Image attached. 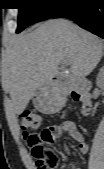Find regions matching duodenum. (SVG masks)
<instances>
[{"label": "duodenum", "instance_id": "410a0bca", "mask_svg": "<svg viewBox=\"0 0 104 169\" xmlns=\"http://www.w3.org/2000/svg\"><path fill=\"white\" fill-rule=\"evenodd\" d=\"M54 79H60V76H56L54 77ZM90 89H91V84L86 79L78 80L77 82H75L74 90L76 93L79 94L81 101L83 102L84 112L86 111L90 103V99H91Z\"/></svg>", "mask_w": 104, "mask_h": 169}]
</instances>
